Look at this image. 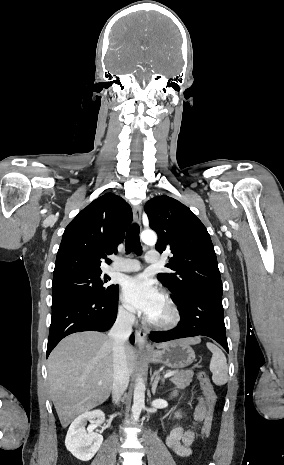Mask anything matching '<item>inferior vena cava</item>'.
Wrapping results in <instances>:
<instances>
[{
    "label": "inferior vena cava",
    "instance_id": "602c4592",
    "mask_svg": "<svg viewBox=\"0 0 284 465\" xmlns=\"http://www.w3.org/2000/svg\"><path fill=\"white\" fill-rule=\"evenodd\" d=\"M134 321L135 315H132V313L118 315L109 333V337L114 339V373L112 387L113 403H118V401H120L124 391H126L129 385L130 373L127 367L124 345L132 333V325Z\"/></svg>",
    "mask_w": 284,
    "mask_h": 465
}]
</instances>
